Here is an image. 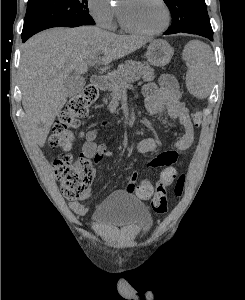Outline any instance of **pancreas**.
<instances>
[{"mask_svg":"<svg viewBox=\"0 0 245 300\" xmlns=\"http://www.w3.org/2000/svg\"><path fill=\"white\" fill-rule=\"evenodd\" d=\"M107 78L110 81L108 89L111 91L109 109L114 113L118 106L119 93L127 82L137 79L150 82L155 76L153 68L149 65L136 61H127L125 64L120 65L117 70L109 73Z\"/></svg>","mask_w":245,"mask_h":300,"instance_id":"obj_1","label":"pancreas"}]
</instances>
